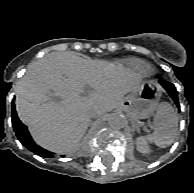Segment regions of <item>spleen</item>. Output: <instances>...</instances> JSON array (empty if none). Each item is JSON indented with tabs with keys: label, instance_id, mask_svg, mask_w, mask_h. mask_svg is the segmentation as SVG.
<instances>
[{
	"label": "spleen",
	"instance_id": "1",
	"mask_svg": "<svg viewBox=\"0 0 194 193\" xmlns=\"http://www.w3.org/2000/svg\"><path fill=\"white\" fill-rule=\"evenodd\" d=\"M155 131L144 137V140L154 143L158 147L166 148L174 142L178 117L168 103H161L155 115Z\"/></svg>",
	"mask_w": 194,
	"mask_h": 193
}]
</instances>
